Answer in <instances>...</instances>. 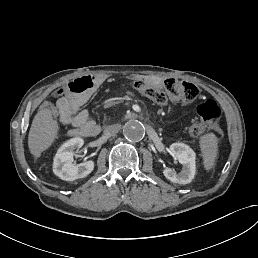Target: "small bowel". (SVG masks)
Wrapping results in <instances>:
<instances>
[{"mask_svg": "<svg viewBox=\"0 0 258 258\" xmlns=\"http://www.w3.org/2000/svg\"><path fill=\"white\" fill-rule=\"evenodd\" d=\"M70 89L57 102L60 120L77 128L87 136H94L99 131V125L82 106L101 86V81L94 76H82L68 83Z\"/></svg>", "mask_w": 258, "mask_h": 258, "instance_id": "1", "label": "small bowel"}]
</instances>
